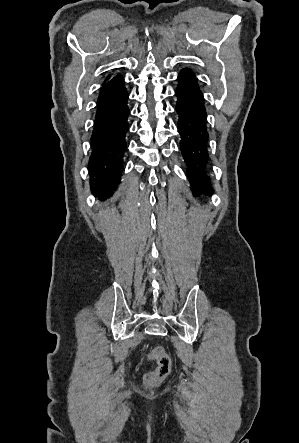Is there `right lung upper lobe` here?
<instances>
[{
    "label": "right lung upper lobe",
    "instance_id": "obj_1",
    "mask_svg": "<svg viewBox=\"0 0 299 443\" xmlns=\"http://www.w3.org/2000/svg\"><path fill=\"white\" fill-rule=\"evenodd\" d=\"M110 79H111V76L109 75V76L106 78L105 82L108 81V80H110Z\"/></svg>",
    "mask_w": 299,
    "mask_h": 443
}]
</instances>
